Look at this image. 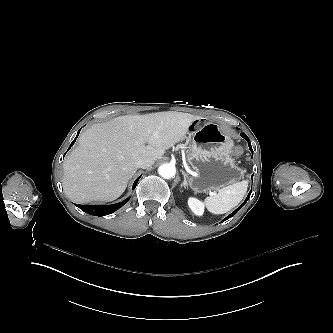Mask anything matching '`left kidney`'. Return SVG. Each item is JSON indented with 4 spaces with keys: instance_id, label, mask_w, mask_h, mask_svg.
Segmentation results:
<instances>
[{
    "instance_id": "1",
    "label": "left kidney",
    "mask_w": 333,
    "mask_h": 333,
    "mask_svg": "<svg viewBox=\"0 0 333 333\" xmlns=\"http://www.w3.org/2000/svg\"><path fill=\"white\" fill-rule=\"evenodd\" d=\"M189 206L196 215H201L203 213V204L197 199L190 198Z\"/></svg>"
}]
</instances>
